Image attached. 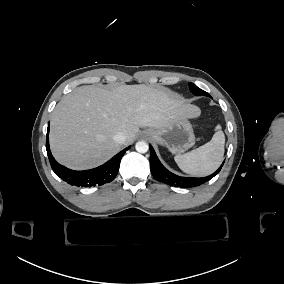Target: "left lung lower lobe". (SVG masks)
I'll list each match as a JSON object with an SVG mask.
<instances>
[{
  "mask_svg": "<svg viewBox=\"0 0 284 284\" xmlns=\"http://www.w3.org/2000/svg\"><path fill=\"white\" fill-rule=\"evenodd\" d=\"M149 148H150V166L153 177L156 180L166 183L170 186H176L182 188L199 186L205 183L206 181L210 180L212 177H214L221 170L223 166L222 164L216 172L204 178L180 177L168 171L159 161L151 145H149Z\"/></svg>",
  "mask_w": 284,
  "mask_h": 284,
  "instance_id": "left-lung-lower-lobe-1",
  "label": "left lung lower lobe"
}]
</instances>
